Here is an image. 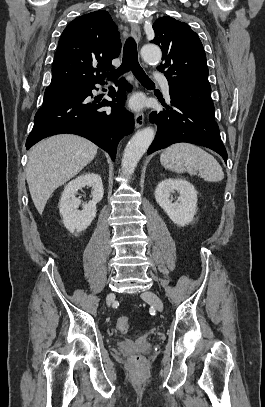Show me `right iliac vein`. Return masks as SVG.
Here are the masks:
<instances>
[{
  "instance_id": "obj_1",
  "label": "right iliac vein",
  "mask_w": 265,
  "mask_h": 407,
  "mask_svg": "<svg viewBox=\"0 0 265 407\" xmlns=\"http://www.w3.org/2000/svg\"><path fill=\"white\" fill-rule=\"evenodd\" d=\"M115 295L114 293H109L106 297V302L110 306V304L114 301Z\"/></svg>"
}]
</instances>
